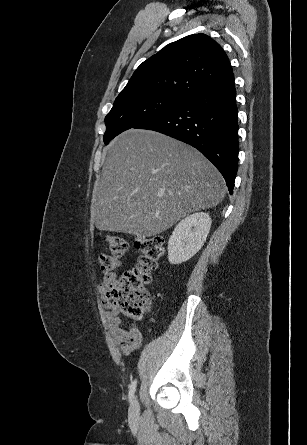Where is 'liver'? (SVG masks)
Listing matches in <instances>:
<instances>
[{
  "mask_svg": "<svg viewBox=\"0 0 307 445\" xmlns=\"http://www.w3.org/2000/svg\"><path fill=\"white\" fill-rule=\"evenodd\" d=\"M104 152L91 200L98 231L155 237L225 196L216 166L190 144L161 132L129 128Z\"/></svg>",
  "mask_w": 307,
  "mask_h": 445,
  "instance_id": "1",
  "label": "liver"
}]
</instances>
